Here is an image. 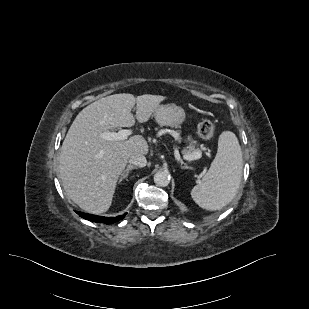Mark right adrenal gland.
Instances as JSON below:
<instances>
[{"mask_svg": "<svg viewBox=\"0 0 309 309\" xmlns=\"http://www.w3.org/2000/svg\"><path fill=\"white\" fill-rule=\"evenodd\" d=\"M136 166L133 165H128L127 168L121 173L120 178H119V183L128 176L129 172L133 169H136Z\"/></svg>", "mask_w": 309, "mask_h": 309, "instance_id": "right-adrenal-gland-1", "label": "right adrenal gland"}]
</instances>
